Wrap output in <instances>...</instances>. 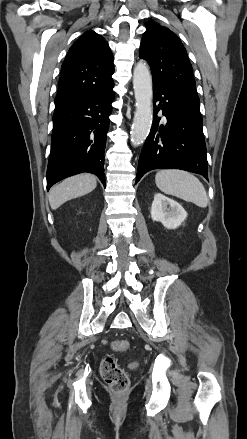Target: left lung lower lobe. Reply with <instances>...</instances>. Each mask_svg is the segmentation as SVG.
Returning a JSON list of instances; mask_svg holds the SVG:
<instances>
[{"label": "left lung lower lobe", "mask_w": 247, "mask_h": 439, "mask_svg": "<svg viewBox=\"0 0 247 439\" xmlns=\"http://www.w3.org/2000/svg\"><path fill=\"white\" fill-rule=\"evenodd\" d=\"M153 103V125L139 158L136 183L153 169H182L208 179L200 106L155 84ZM160 109L167 120L164 124L157 117Z\"/></svg>", "instance_id": "1"}]
</instances>
